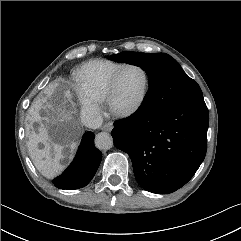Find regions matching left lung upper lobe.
<instances>
[{
	"instance_id": "left-lung-upper-lobe-1",
	"label": "left lung upper lobe",
	"mask_w": 241,
	"mask_h": 241,
	"mask_svg": "<svg viewBox=\"0 0 241 241\" xmlns=\"http://www.w3.org/2000/svg\"><path fill=\"white\" fill-rule=\"evenodd\" d=\"M108 58L121 63H136L146 71L149 88L154 85L162 87L173 101L202 95L199 85L183 71L175 59L167 54L123 51Z\"/></svg>"
}]
</instances>
